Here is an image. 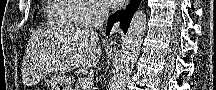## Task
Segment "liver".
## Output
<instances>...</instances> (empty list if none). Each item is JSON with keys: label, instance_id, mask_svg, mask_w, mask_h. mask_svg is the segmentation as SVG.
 Listing matches in <instances>:
<instances>
[{"label": "liver", "instance_id": "6515ba94", "mask_svg": "<svg viewBox=\"0 0 216 90\" xmlns=\"http://www.w3.org/2000/svg\"><path fill=\"white\" fill-rule=\"evenodd\" d=\"M63 34V36H62ZM60 34L61 54L58 58L61 72H72L75 68L88 70L99 64L101 50L97 48L99 36L93 30H81L69 24Z\"/></svg>", "mask_w": 216, "mask_h": 90}]
</instances>
